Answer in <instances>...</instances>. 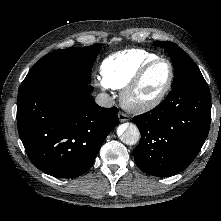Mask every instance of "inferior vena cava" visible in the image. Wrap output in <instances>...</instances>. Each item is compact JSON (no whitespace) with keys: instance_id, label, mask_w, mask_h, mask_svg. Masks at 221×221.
<instances>
[{"instance_id":"1","label":"inferior vena cava","mask_w":221,"mask_h":221,"mask_svg":"<svg viewBox=\"0 0 221 221\" xmlns=\"http://www.w3.org/2000/svg\"><path fill=\"white\" fill-rule=\"evenodd\" d=\"M96 103L101 107H112L115 102L108 94L100 93L96 97Z\"/></svg>"}]
</instances>
